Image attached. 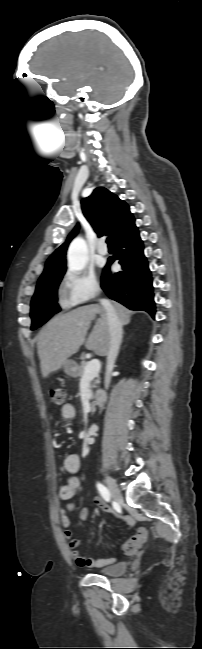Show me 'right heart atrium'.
I'll return each instance as SVG.
<instances>
[{"mask_svg":"<svg viewBox=\"0 0 202 649\" xmlns=\"http://www.w3.org/2000/svg\"><path fill=\"white\" fill-rule=\"evenodd\" d=\"M101 290L96 275L89 270H68L60 281L59 302L68 308L92 301Z\"/></svg>","mask_w":202,"mask_h":649,"instance_id":"right-heart-atrium-1","label":"right heart atrium"}]
</instances>
